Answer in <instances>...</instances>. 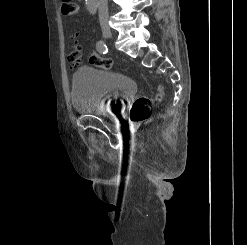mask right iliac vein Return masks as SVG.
Wrapping results in <instances>:
<instances>
[{
    "label": "right iliac vein",
    "instance_id": "obj_1",
    "mask_svg": "<svg viewBox=\"0 0 247 245\" xmlns=\"http://www.w3.org/2000/svg\"><path fill=\"white\" fill-rule=\"evenodd\" d=\"M102 33L105 38H112V32L111 29L108 26H103L102 27Z\"/></svg>",
    "mask_w": 247,
    "mask_h": 245
}]
</instances>
